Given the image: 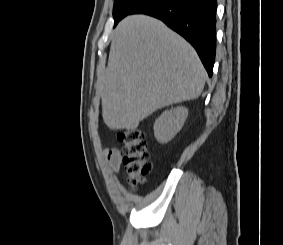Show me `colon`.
<instances>
[{"label":"colon","instance_id":"colon-1","mask_svg":"<svg viewBox=\"0 0 283 245\" xmlns=\"http://www.w3.org/2000/svg\"><path fill=\"white\" fill-rule=\"evenodd\" d=\"M118 139L123 143L122 162L128 183L135 189L151 168L144 133L138 129L124 130L118 134Z\"/></svg>","mask_w":283,"mask_h":245}]
</instances>
